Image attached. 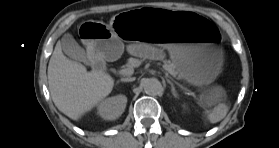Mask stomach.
<instances>
[{
	"mask_svg": "<svg viewBox=\"0 0 279 148\" xmlns=\"http://www.w3.org/2000/svg\"><path fill=\"white\" fill-rule=\"evenodd\" d=\"M75 39L84 51L109 60L122 54V41L150 42L158 50L170 51L178 74L192 86L208 85L228 65L222 26L210 16L171 6L125 11L110 24L84 19L76 27Z\"/></svg>",
	"mask_w": 279,
	"mask_h": 148,
	"instance_id": "stomach-1",
	"label": "stomach"
}]
</instances>
